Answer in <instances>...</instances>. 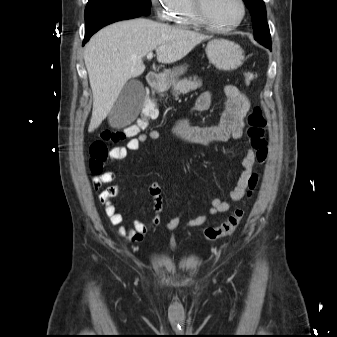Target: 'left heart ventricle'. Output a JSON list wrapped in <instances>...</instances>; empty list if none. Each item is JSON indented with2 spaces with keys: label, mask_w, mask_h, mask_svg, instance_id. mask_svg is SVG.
<instances>
[{
  "label": "left heart ventricle",
  "mask_w": 337,
  "mask_h": 337,
  "mask_svg": "<svg viewBox=\"0 0 337 337\" xmlns=\"http://www.w3.org/2000/svg\"><path fill=\"white\" fill-rule=\"evenodd\" d=\"M207 17L218 25H229L238 20L241 14L237 0H204Z\"/></svg>",
  "instance_id": "obj_1"
}]
</instances>
